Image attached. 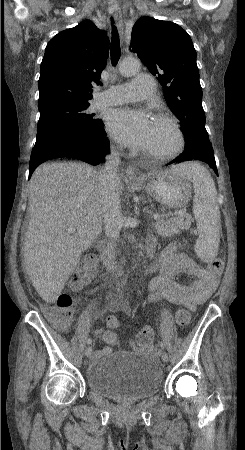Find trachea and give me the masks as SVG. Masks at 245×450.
I'll return each instance as SVG.
<instances>
[{"label":"trachea","mask_w":245,"mask_h":450,"mask_svg":"<svg viewBox=\"0 0 245 450\" xmlns=\"http://www.w3.org/2000/svg\"><path fill=\"white\" fill-rule=\"evenodd\" d=\"M113 23V19H112ZM111 62L112 65L115 66L120 58L121 52H120V39L119 34L117 31V28L115 25L112 26V39H111Z\"/></svg>","instance_id":"trachea-1"}]
</instances>
